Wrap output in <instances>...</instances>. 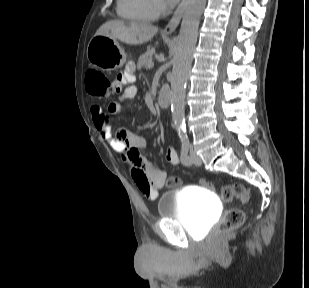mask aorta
<instances>
[{
  "mask_svg": "<svg viewBox=\"0 0 309 288\" xmlns=\"http://www.w3.org/2000/svg\"><path fill=\"white\" fill-rule=\"evenodd\" d=\"M206 0H186L180 32L175 46L171 79L172 121L181 139L185 130V92L192 64L193 51L197 43L198 28Z\"/></svg>",
  "mask_w": 309,
  "mask_h": 288,
  "instance_id": "1",
  "label": "aorta"
}]
</instances>
